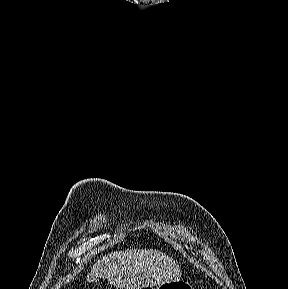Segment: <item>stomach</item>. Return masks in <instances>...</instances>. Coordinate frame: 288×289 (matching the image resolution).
Instances as JSON below:
<instances>
[{"mask_svg":"<svg viewBox=\"0 0 288 289\" xmlns=\"http://www.w3.org/2000/svg\"><path fill=\"white\" fill-rule=\"evenodd\" d=\"M150 288L154 289L153 287ZM156 289H193V288L189 283L183 280H177L158 285Z\"/></svg>","mask_w":288,"mask_h":289,"instance_id":"1","label":"stomach"}]
</instances>
